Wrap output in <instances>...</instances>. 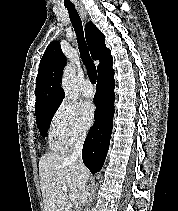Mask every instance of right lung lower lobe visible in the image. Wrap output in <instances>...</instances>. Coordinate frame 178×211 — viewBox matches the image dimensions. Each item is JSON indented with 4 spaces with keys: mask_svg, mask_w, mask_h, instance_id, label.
<instances>
[{
    "mask_svg": "<svg viewBox=\"0 0 178 211\" xmlns=\"http://www.w3.org/2000/svg\"><path fill=\"white\" fill-rule=\"evenodd\" d=\"M114 71L98 77L94 103L95 122L83 145V162L92 174L99 172L109 149L114 115Z\"/></svg>",
    "mask_w": 178,
    "mask_h": 211,
    "instance_id": "98d812e1",
    "label": "right lung lower lobe"
}]
</instances>
